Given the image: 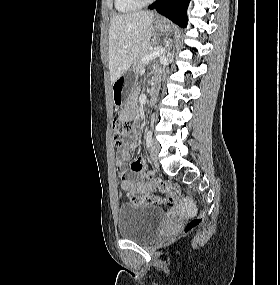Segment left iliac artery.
I'll use <instances>...</instances> for the list:
<instances>
[{"label": "left iliac artery", "mask_w": 280, "mask_h": 285, "mask_svg": "<svg viewBox=\"0 0 280 285\" xmlns=\"http://www.w3.org/2000/svg\"><path fill=\"white\" fill-rule=\"evenodd\" d=\"M152 143V132L151 130H149L146 134V145L149 148L151 146Z\"/></svg>", "instance_id": "left-iliac-artery-1"}]
</instances>
